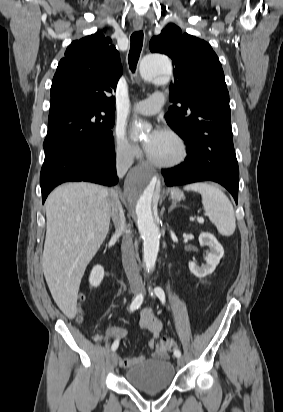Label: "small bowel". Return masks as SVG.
Returning a JSON list of instances; mask_svg holds the SVG:
<instances>
[{"label":"small bowel","instance_id":"1","mask_svg":"<svg viewBox=\"0 0 283 412\" xmlns=\"http://www.w3.org/2000/svg\"><path fill=\"white\" fill-rule=\"evenodd\" d=\"M140 326L142 329L149 331L153 337L149 340V347L151 349L155 348L156 338L159 335L162 324L160 320L154 315L150 308H145L140 313ZM108 334L112 338L123 337L126 331L123 328L112 326L108 328ZM154 357H160L159 353H154ZM145 360L144 356H137L133 358H119V365L121 368H129L137 363H141Z\"/></svg>","mask_w":283,"mask_h":412}]
</instances>
